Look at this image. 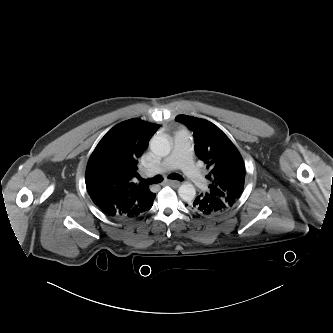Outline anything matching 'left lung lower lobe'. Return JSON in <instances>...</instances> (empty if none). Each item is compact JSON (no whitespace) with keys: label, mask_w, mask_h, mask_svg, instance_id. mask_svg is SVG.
<instances>
[{"label":"left lung lower lobe","mask_w":333,"mask_h":333,"mask_svg":"<svg viewBox=\"0 0 333 333\" xmlns=\"http://www.w3.org/2000/svg\"><path fill=\"white\" fill-rule=\"evenodd\" d=\"M191 210L202 215L217 216L227 211L224 202L209 193L201 194L189 203Z\"/></svg>","instance_id":"1"}]
</instances>
